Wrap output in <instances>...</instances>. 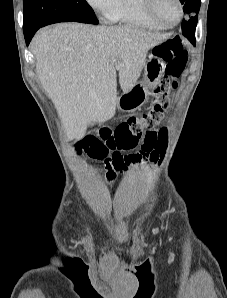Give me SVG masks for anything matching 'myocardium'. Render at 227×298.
<instances>
[{"instance_id":"myocardium-1","label":"myocardium","mask_w":227,"mask_h":298,"mask_svg":"<svg viewBox=\"0 0 227 298\" xmlns=\"http://www.w3.org/2000/svg\"><path fill=\"white\" fill-rule=\"evenodd\" d=\"M145 1V10L148 16L153 19L158 24L164 26V27H174L178 25L184 16V6L183 2L181 0H176L178 7H179V17L174 23H167L165 22L156 12V3L157 0H144Z\"/></svg>"}]
</instances>
